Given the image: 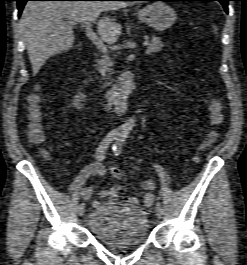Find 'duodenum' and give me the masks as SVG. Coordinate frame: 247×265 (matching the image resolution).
Here are the masks:
<instances>
[{
    "label": "duodenum",
    "instance_id": "410a0bca",
    "mask_svg": "<svg viewBox=\"0 0 247 265\" xmlns=\"http://www.w3.org/2000/svg\"><path fill=\"white\" fill-rule=\"evenodd\" d=\"M86 84L103 108L122 105L135 88L134 76L130 71L121 73L117 85L107 93L97 94L88 80H86Z\"/></svg>",
    "mask_w": 247,
    "mask_h": 265
}]
</instances>
